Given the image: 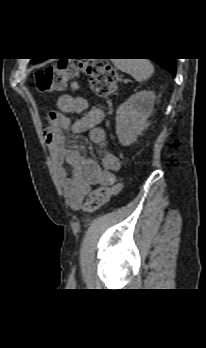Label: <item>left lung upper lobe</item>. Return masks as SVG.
Wrapping results in <instances>:
<instances>
[{"instance_id":"left-lung-upper-lobe-1","label":"left lung upper lobe","mask_w":206,"mask_h":348,"mask_svg":"<svg viewBox=\"0 0 206 348\" xmlns=\"http://www.w3.org/2000/svg\"><path fill=\"white\" fill-rule=\"evenodd\" d=\"M40 61H41V60H36V59H32V60H31L32 63H38V62H40Z\"/></svg>"}]
</instances>
